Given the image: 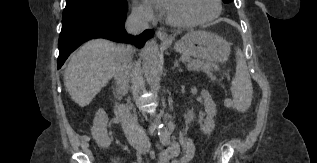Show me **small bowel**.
<instances>
[{
	"instance_id": "1",
	"label": "small bowel",
	"mask_w": 317,
	"mask_h": 163,
	"mask_svg": "<svg viewBox=\"0 0 317 163\" xmlns=\"http://www.w3.org/2000/svg\"><path fill=\"white\" fill-rule=\"evenodd\" d=\"M179 152V146L176 142H173L171 146L163 151L160 155L158 163H188L194 156L195 146L189 137H183V145L180 149V155L178 159L171 160ZM113 163H121V160L115 159ZM133 163H142L141 160H137Z\"/></svg>"
}]
</instances>
